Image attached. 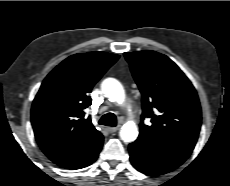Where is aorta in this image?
Instances as JSON below:
<instances>
[{"instance_id":"obj_1","label":"aorta","mask_w":230,"mask_h":186,"mask_svg":"<svg viewBox=\"0 0 230 186\" xmlns=\"http://www.w3.org/2000/svg\"><path fill=\"white\" fill-rule=\"evenodd\" d=\"M102 92L112 102L122 104L125 101V91L122 84L114 79L107 78L101 84ZM121 140L126 143L133 142L138 136V128L133 121L126 122L119 132Z\"/></svg>"}]
</instances>
